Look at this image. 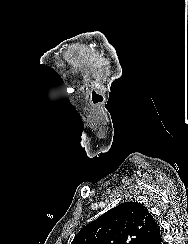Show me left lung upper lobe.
<instances>
[{
  "instance_id": "left-lung-upper-lobe-1",
  "label": "left lung upper lobe",
  "mask_w": 188,
  "mask_h": 244,
  "mask_svg": "<svg viewBox=\"0 0 188 244\" xmlns=\"http://www.w3.org/2000/svg\"><path fill=\"white\" fill-rule=\"evenodd\" d=\"M159 224L138 202H124L84 226L71 244H149Z\"/></svg>"
}]
</instances>
